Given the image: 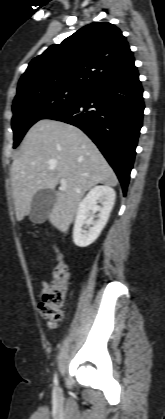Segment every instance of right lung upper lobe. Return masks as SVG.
<instances>
[{"label": "right lung upper lobe", "instance_id": "right-lung-upper-lobe-1", "mask_svg": "<svg viewBox=\"0 0 165 419\" xmlns=\"http://www.w3.org/2000/svg\"><path fill=\"white\" fill-rule=\"evenodd\" d=\"M134 64L133 52L113 24H89L34 58L19 80L14 100L54 87L90 91Z\"/></svg>", "mask_w": 165, "mask_h": 419}]
</instances>
